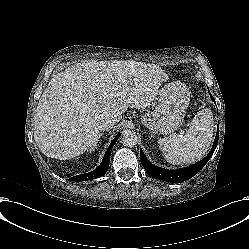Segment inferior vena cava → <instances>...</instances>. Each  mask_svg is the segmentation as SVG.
<instances>
[{
	"label": "inferior vena cava",
	"instance_id": "obj_1",
	"mask_svg": "<svg viewBox=\"0 0 249 249\" xmlns=\"http://www.w3.org/2000/svg\"><path fill=\"white\" fill-rule=\"evenodd\" d=\"M117 123V119L113 116L111 118H106L101 123V129L103 131L111 129Z\"/></svg>",
	"mask_w": 249,
	"mask_h": 249
}]
</instances>
